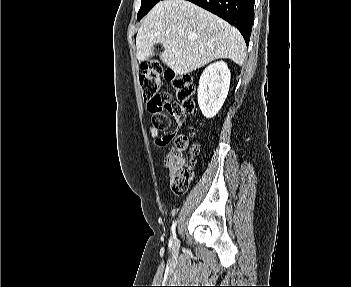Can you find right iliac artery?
<instances>
[{"instance_id":"1","label":"right iliac artery","mask_w":351,"mask_h":287,"mask_svg":"<svg viewBox=\"0 0 351 287\" xmlns=\"http://www.w3.org/2000/svg\"><path fill=\"white\" fill-rule=\"evenodd\" d=\"M176 224H177V221H175V222L172 224V227H171V233H172L171 240H172V241H173V239H174V240L176 239V233H175ZM172 241H171V244H172Z\"/></svg>"}]
</instances>
